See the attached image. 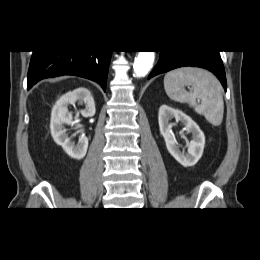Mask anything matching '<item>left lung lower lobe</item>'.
I'll use <instances>...</instances> for the list:
<instances>
[{"label":"left lung lower lobe","mask_w":260,"mask_h":260,"mask_svg":"<svg viewBox=\"0 0 260 260\" xmlns=\"http://www.w3.org/2000/svg\"><path fill=\"white\" fill-rule=\"evenodd\" d=\"M200 67L211 71L222 83L226 91V77L218 50L200 51H160L157 66L148 79L179 67Z\"/></svg>","instance_id":"1"}]
</instances>
